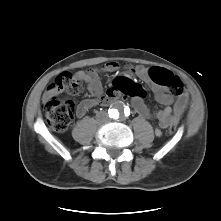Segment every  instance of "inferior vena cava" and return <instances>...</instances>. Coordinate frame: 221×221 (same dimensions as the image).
Here are the masks:
<instances>
[{
	"mask_svg": "<svg viewBox=\"0 0 221 221\" xmlns=\"http://www.w3.org/2000/svg\"><path fill=\"white\" fill-rule=\"evenodd\" d=\"M98 118L102 119L103 121H108L109 118L105 113H101L100 115H98Z\"/></svg>",
	"mask_w": 221,
	"mask_h": 221,
	"instance_id": "1",
	"label": "inferior vena cava"
}]
</instances>
